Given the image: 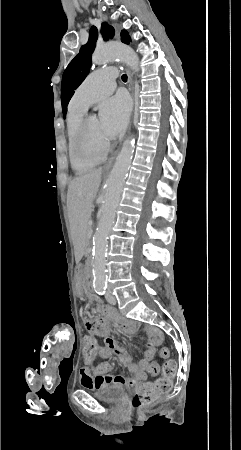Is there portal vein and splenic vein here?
<instances>
[{
  "label": "portal vein and splenic vein",
  "instance_id": "obj_1",
  "mask_svg": "<svg viewBox=\"0 0 241 450\" xmlns=\"http://www.w3.org/2000/svg\"><path fill=\"white\" fill-rule=\"evenodd\" d=\"M89 236H93L92 228H89Z\"/></svg>",
  "mask_w": 241,
  "mask_h": 450
}]
</instances>
